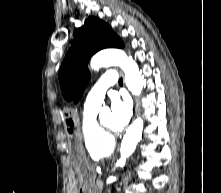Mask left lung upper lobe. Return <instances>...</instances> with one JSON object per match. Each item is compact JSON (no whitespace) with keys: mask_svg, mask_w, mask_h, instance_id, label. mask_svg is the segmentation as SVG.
Returning <instances> with one entry per match:
<instances>
[{"mask_svg":"<svg viewBox=\"0 0 221 193\" xmlns=\"http://www.w3.org/2000/svg\"><path fill=\"white\" fill-rule=\"evenodd\" d=\"M123 42L102 20L89 17L77 29L74 41L61 65L59 79L64 97L75 103L81 98L90 74L87 68L90 57L104 48H122Z\"/></svg>","mask_w":221,"mask_h":193,"instance_id":"1","label":"left lung upper lobe"}]
</instances>
